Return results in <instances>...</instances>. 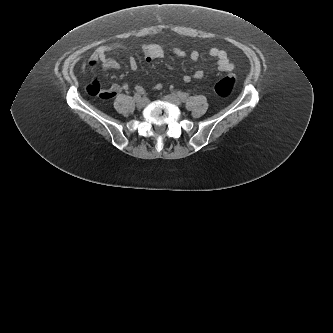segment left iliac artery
<instances>
[{"label":"left iliac artery","instance_id":"44dca946","mask_svg":"<svg viewBox=\"0 0 333 333\" xmlns=\"http://www.w3.org/2000/svg\"><path fill=\"white\" fill-rule=\"evenodd\" d=\"M177 95H178V97H180V99L181 100H186L187 99V97H188V94L187 93H184V92H181V91H178L177 92Z\"/></svg>","mask_w":333,"mask_h":333}]
</instances>
